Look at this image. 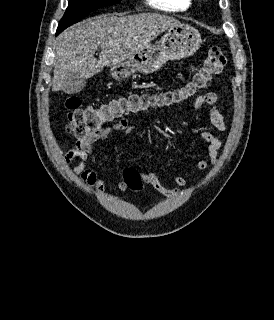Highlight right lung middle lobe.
I'll use <instances>...</instances> for the list:
<instances>
[{"label": "right lung middle lobe", "mask_w": 274, "mask_h": 320, "mask_svg": "<svg viewBox=\"0 0 274 320\" xmlns=\"http://www.w3.org/2000/svg\"><path fill=\"white\" fill-rule=\"evenodd\" d=\"M120 1L121 0H69L68 7L59 23L57 32L61 33L67 27L79 22L90 12L100 7L117 4Z\"/></svg>", "instance_id": "dd1d6c3e"}]
</instances>
